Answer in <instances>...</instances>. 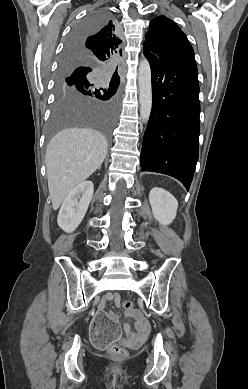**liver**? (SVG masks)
Returning a JSON list of instances; mask_svg holds the SVG:
<instances>
[{
    "mask_svg": "<svg viewBox=\"0 0 248 389\" xmlns=\"http://www.w3.org/2000/svg\"><path fill=\"white\" fill-rule=\"evenodd\" d=\"M106 153V138L90 128H68L50 140L45 164L54 210L74 187L100 168Z\"/></svg>",
    "mask_w": 248,
    "mask_h": 389,
    "instance_id": "6515ba94",
    "label": "liver"
}]
</instances>
